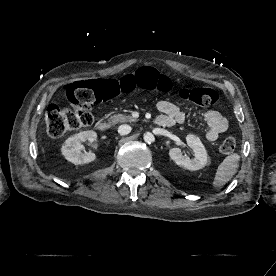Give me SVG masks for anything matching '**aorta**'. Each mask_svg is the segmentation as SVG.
Segmentation results:
<instances>
[{
	"mask_svg": "<svg viewBox=\"0 0 276 276\" xmlns=\"http://www.w3.org/2000/svg\"><path fill=\"white\" fill-rule=\"evenodd\" d=\"M143 138L146 143H152L155 141L154 135L150 132L145 133Z\"/></svg>",
	"mask_w": 276,
	"mask_h": 276,
	"instance_id": "762f6f07",
	"label": "aorta"
}]
</instances>
